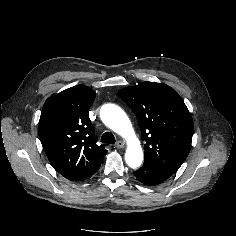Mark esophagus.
<instances>
[{"label":"esophagus","instance_id":"obj_1","mask_svg":"<svg viewBox=\"0 0 236 236\" xmlns=\"http://www.w3.org/2000/svg\"><path fill=\"white\" fill-rule=\"evenodd\" d=\"M124 143L122 141H118L116 144H115V147L116 148H124Z\"/></svg>","mask_w":236,"mask_h":236}]
</instances>
